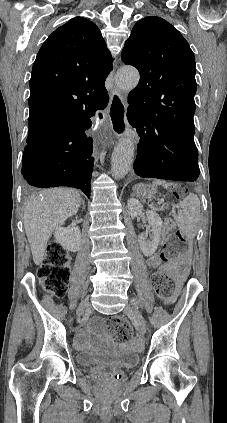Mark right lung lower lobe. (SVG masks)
I'll return each mask as SVG.
<instances>
[{"instance_id": "98d812e1", "label": "right lung lower lobe", "mask_w": 227, "mask_h": 423, "mask_svg": "<svg viewBox=\"0 0 227 423\" xmlns=\"http://www.w3.org/2000/svg\"><path fill=\"white\" fill-rule=\"evenodd\" d=\"M107 104H47L30 107L29 121L63 118L69 120L70 125L44 141L26 145L21 172L28 184L39 188L74 187L90 197L93 140L85 131L92 125L89 118Z\"/></svg>"}]
</instances>
